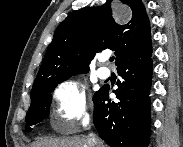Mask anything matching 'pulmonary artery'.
Returning a JSON list of instances; mask_svg holds the SVG:
<instances>
[{
	"label": "pulmonary artery",
	"instance_id": "1",
	"mask_svg": "<svg viewBox=\"0 0 183 147\" xmlns=\"http://www.w3.org/2000/svg\"><path fill=\"white\" fill-rule=\"evenodd\" d=\"M99 61H100L101 63H104V62L106 61V57H101V58L99 59ZM110 74H111V71H110V69L107 68V67H100V68L98 69V76H99L101 79H107V78H109V77H110Z\"/></svg>",
	"mask_w": 183,
	"mask_h": 147
}]
</instances>
